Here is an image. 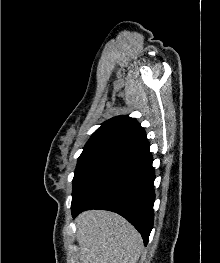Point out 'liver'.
Listing matches in <instances>:
<instances>
[{"mask_svg": "<svg viewBox=\"0 0 220 263\" xmlns=\"http://www.w3.org/2000/svg\"><path fill=\"white\" fill-rule=\"evenodd\" d=\"M80 263H137L143 240L120 215L88 210L76 219Z\"/></svg>", "mask_w": 220, "mask_h": 263, "instance_id": "liver-1", "label": "liver"}]
</instances>
